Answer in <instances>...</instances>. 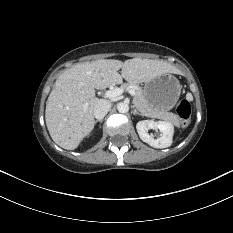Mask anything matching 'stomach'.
Returning a JSON list of instances; mask_svg holds the SVG:
<instances>
[{"instance_id": "1", "label": "stomach", "mask_w": 233, "mask_h": 233, "mask_svg": "<svg viewBox=\"0 0 233 233\" xmlns=\"http://www.w3.org/2000/svg\"><path fill=\"white\" fill-rule=\"evenodd\" d=\"M143 93L152 107L169 111L180 97L181 85L175 76L163 74L147 81Z\"/></svg>"}]
</instances>
